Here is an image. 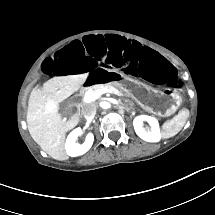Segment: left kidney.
<instances>
[{
	"label": "left kidney",
	"instance_id": "obj_1",
	"mask_svg": "<svg viewBox=\"0 0 215 215\" xmlns=\"http://www.w3.org/2000/svg\"><path fill=\"white\" fill-rule=\"evenodd\" d=\"M146 120L152 127L151 131H147L142 127L143 121ZM136 134L147 142H159L161 140V131L158 120L148 115L137 116L133 121Z\"/></svg>",
	"mask_w": 215,
	"mask_h": 215
}]
</instances>
